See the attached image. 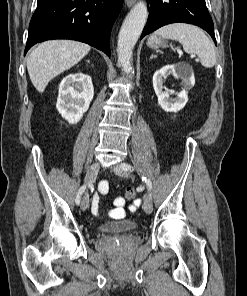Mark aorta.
<instances>
[{
    "mask_svg": "<svg viewBox=\"0 0 247 296\" xmlns=\"http://www.w3.org/2000/svg\"><path fill=\"white\" fill-rule=\"evenodd\" d=\"M148 17L147 6L137 2L126 16L118 35V61L122 70L132 73L131 59L134 46L140 37Z\"/></svg>",
    "mask_w": 247,
    "mask_h": 296,
    "instance_id": "aorta-1",
    "label": "aorta"
}]
</instances>
